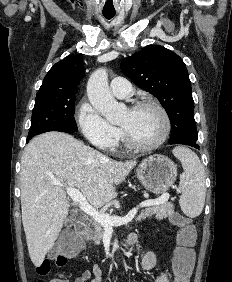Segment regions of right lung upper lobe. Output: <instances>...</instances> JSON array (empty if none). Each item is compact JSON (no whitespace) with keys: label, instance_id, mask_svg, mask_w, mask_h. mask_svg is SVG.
Masks as SVG:
<instances>
[{"label":"right lung upper lobe","instance_id":"1","mask_svg":"<svg viewBox=\"0 0 232 282\" xmlns=\"http://www.w3.org/2000/svg\"><path fill=\"white\" fill-rule=\"evenodd\" d=\"M84 73L83 56L70 55L53 65L37 94H76Z\"/></svg>","mask_w":232,"mask_h":282}]
</instances>
